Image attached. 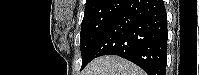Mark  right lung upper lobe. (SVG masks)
Listing matches in <instances>:
<instances>
[{"label":"right lung upper lobe","mask_w":199,"mask_h":75,"mask_svg":"<svg viewBox=\"0 0 199 75\" xmlns=\"http://www.w3.org/2000/svg\"><path fill=\"white\" fill-rule=\"evenodd\" d=\"M106 0H86L85 9L93 8L102 5Z\"/></svg>","instance_id":"right-lung-upper-lobe-1"}]
</instances>
